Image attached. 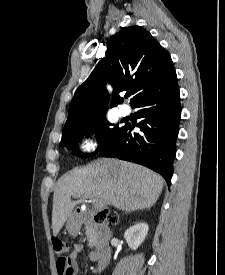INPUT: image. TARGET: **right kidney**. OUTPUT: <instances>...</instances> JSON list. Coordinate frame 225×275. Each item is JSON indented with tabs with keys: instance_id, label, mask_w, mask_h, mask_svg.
Wrapping results in <instances>:
<instances>
[{
	"instance_id": "ca27d5eb",
	"label": "right kidney",
	"mask_w": 225,
	"mask_h": 275,
	"mask_svg": "<svg viewBox=\"0 0 225 275\" xmlns=\"http://www.w3.org/2000/svg\"><path fill=\"white\" fill-rule=\"evenodd\" d=\"M148 229V225L142 222L126 230L124 238L132 250H136L141 245L147 236Z\"/></svg>"
}]
</instances>
